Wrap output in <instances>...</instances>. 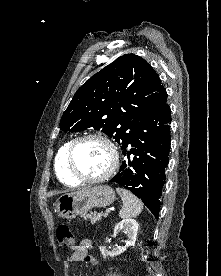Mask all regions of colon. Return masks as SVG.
Wrapping results in <instances>:
<instances>
[{
  "label": "colon",
  "instance_id": "1",
  "mask_svg": "<svg viewBox=\"0 0 221 276\" xmlns=\"http://www.w3.org/2000/svg\"><path fill=\"white\" fill-rule=\"evenodd\" d=\"M56 237L58 244L62 247H72L74 244V235L70 227L66 224H61L57 227Z\"/></svg>",
  "mask_w": 221,
  "mask_h": 276
}]
</instances>
